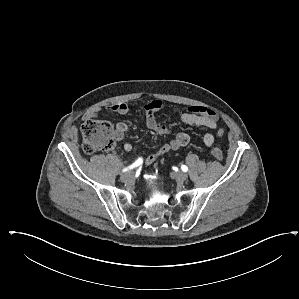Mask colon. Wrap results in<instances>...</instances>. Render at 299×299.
I'll return each instance as SVG.
<instances>
[{"instance_id": "5ec220e1", "label": "colon", "mask_w": 299, "mask_h": 299, "mask_svg": "<svg viewBox=\"0 0 299 299\" xmlns=\"http://www.w3.org/2000/svg\"><path fill=\"white\" fill-rule=\"evenodd\" d=\"M81 137L82 148L86 154L109 151L115 146L113 127L106 120H86L81 128ZM211 153L217 160L221 161L224 158L218 147H212Z\"/></svg>"}]
</instances>
